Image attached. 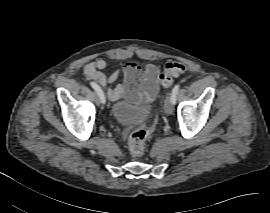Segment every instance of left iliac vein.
I'll list each match as a JSON object with an SVG mask.
<instances>
[{"instance_id":"1","label":"left iliac vein","mask_w":270,"mask_h":213,"mask_svg":"<svg viewBox=\"0 0 270 213\" xmlns=\"http://www.w3.org/2000/svg\"><path fill=\"white\" fill-rule=\"evenodd\" d=\"M164 109L167 115H171L173 113V102L170 95L165 100Z\"/></svg>"}]
</instances>
